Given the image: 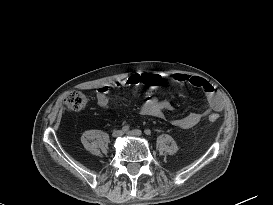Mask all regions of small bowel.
<instances>
[{"instance_id":"c3829d8e","label":"small bowel","mask_w":273,"mask_h":205,"mask_svg":"<svg viewBox=\"0 0 273 205\" xmlns=\"http://www.w3.org/2000/svg\"><path fill=\"white\" fill-rule=\"evenodd\" d=\"M171 79L181 85L191 84L192 86L201 89L208 102V110L204 114L200 113H189L188 115L175 119L173 124L176 127L181 129H188L195 126L202 117L211 112H220L223 109V101L216 91V89L205 79L190 76L186 74H175ZM161 80L159 74L150 73H131L111 84L102 85L98 88L96 99L97 103L101 108L109 109L110 108V99L108 93L111 88L115 87H124L131 85H145L147 87H152L157 85ZM181 93H184V90H181ZM173 110V105L167 100H160L155 96L147 95L141 106V114L146 116L162 117L165 111Z\"/></svg>"}]
</instances>
